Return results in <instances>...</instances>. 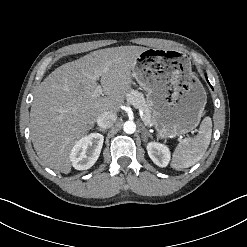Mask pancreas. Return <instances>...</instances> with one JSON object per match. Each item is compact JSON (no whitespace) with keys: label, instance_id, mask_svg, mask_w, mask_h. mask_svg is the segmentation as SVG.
Listing matches in <instances>:
<instances>
[{"label":"pancreas","instance_id":"cf45deb5","mask_svg":"<svg viewBox=\"0 0 247 247\" xmlns=\"http://www.w3.org/2000/svg\"><path fill=\"white\" fill-rule=\"evenodd\" d=\"M127 102L143 111L142 120L145 125H153L151 111L142 93L131 90L126 95Z\"/></svg>","mask_w":247,"mask_h":247}]
</instances>
